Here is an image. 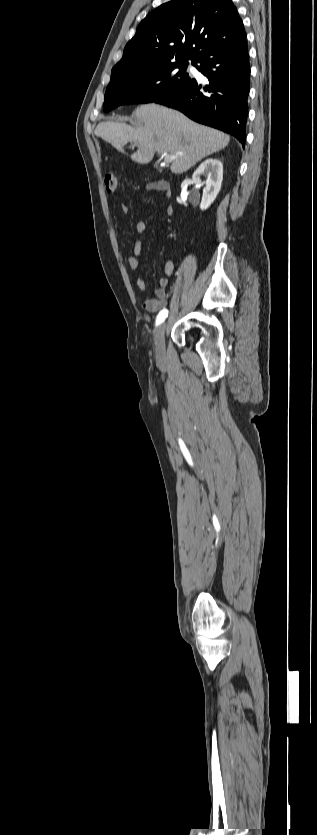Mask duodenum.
Returning <instances> with one entry per match:
<instances>
[{
  "instance_id": "obj_1",
  "label": "duodenum",
  "mask_w": 317,
  "mask_h": 835,
  "mask_svg": "<svg viewBox=\"0 0 317 835\" xmlns=\"http://www.w3.org/2000/svg\"><path fill=\"white\" fill-rule=\"evenodd\" d=\"M157 183H158L159 190L164 192L166 197H170L171 196V190H170L169 184L164 182V181H159Z\"/></svg>"
}]
</instances>
